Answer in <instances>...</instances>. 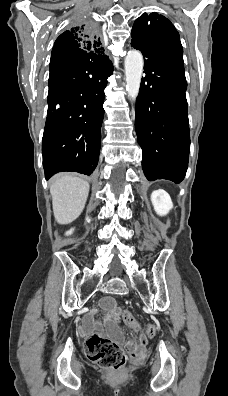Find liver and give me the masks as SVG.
I'll use <instances>...</instances> for the list:
<instances>
[{
	"label": "liver",
	"mask_w": 228,
	"mask_h": 396,
	"mask_svg": "<svg viewBox=\"0 0 228 396\" xmlns=\"http://www.w3.org/2000/svg\"><path fill=\"white\" fill-rule=\"evenodd\" d=\"M55 220L69 224L82 213L89 193V183L70 174H59L50 187Z\"/></svg>",
	"instance_id": "1"
}]
</instances>
